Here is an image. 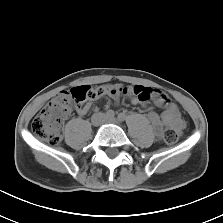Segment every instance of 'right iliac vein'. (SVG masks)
<instances>
[{
    "instance_id": "obj_1",
    "label": "right iliac vein",
    "mask_w": 223,
    "mask_h": 223,
    "mask_svg": "<svg viewBox=\"0 0 223 223\" xmlns=\"http://www.w3.org/2000/svg\"><path fill=\"white\" fill-rule=\"evenodd\" d=\"M99 117H102V116H99ZM93 124H94V125H97V124H98L97 120H95V121L93 122Z\"/></svg>"
}]
</instances>
